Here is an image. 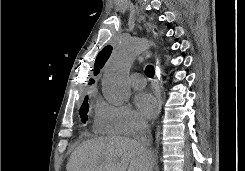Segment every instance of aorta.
<instances>
[{
  "label": "aorta",
  "mask_w": 245,
  "mask_h": 171,
  "mask_svg": "<svg viewBox=\"0 0 245 171\" xmlns=\"http://www.w3.org/2000/svg\"><path fill=\"white\" fill-rule=\"evenodd\" d=\"M154 45L145 38L123 39L110 57L103 76L102 92L114 105H122L131 96L128 75L136 58Z\"/></svg>",
  "instance_id": "1"
}]
</instances>
